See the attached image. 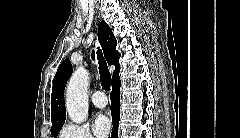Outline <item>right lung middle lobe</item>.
I'll return each instance as SVG.
<instances>
[{"label":"right lung middle lobe","instance_id":"1","mask_svg":"<svg viewBox=\"0 0 240 138\" xmlns=\"http://www.w3.org/2000/svg\"><path fill=\"white\" fill-rule=\"evenodd\" d=\"M62 125H63V124L56 125V126H52L51 132H52V135H53L54 137H57L58 132H59V130H60V128H61Z\"/></svg>","mask_w":240,"mask_h":138}]
</instances>
